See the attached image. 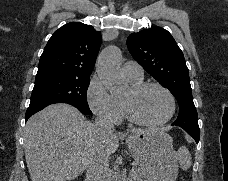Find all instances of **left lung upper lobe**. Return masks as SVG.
Listing matches in <instances>:
<instances>
[{
  "instance_id": "1",
  "label": "left lung upper lobe",
  "mask_w": 228,
  "mask_h": 181,
  "mask_svg": "<svg viewBox=\"0 0 228 181\" xmlns=\"http://www.w3.org/2000/svg\"><path fill=\"white\" fill-rule=\"evenodd\" d=\"M127 46L133 58L177 99L179 115L172 125L199 129L188 68L171 34L161 27L144 29L130 34Z\"/></svg>"
}]
</instances>
